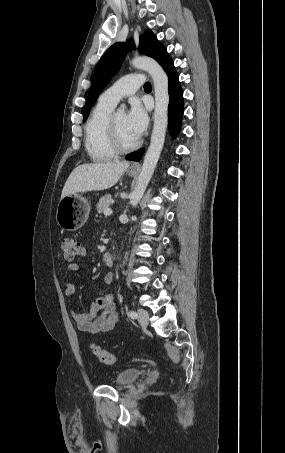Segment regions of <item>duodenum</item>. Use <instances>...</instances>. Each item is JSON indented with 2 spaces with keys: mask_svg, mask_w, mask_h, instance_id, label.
Instances as JSON below:
<instances>
[{
  "mask_svg": "<svg viewBox=\"0 0 285 453\" xmlns=\"http://www.w3.org/2000/svg\"><path fill=\"white\" fill-rule=\"evenodd\" d=\"M103 261L107 266H112L114 262V256L112 252H106L103 255Z\"/></svg>",
  "mask_w": 285,
  "mask_h": 453,
  "instance_id": "1",
  "label": "duodenum"
}]
</instances>
